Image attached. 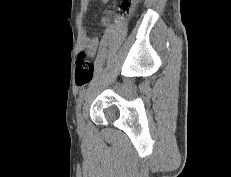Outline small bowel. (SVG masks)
Here are the masks:
<instances>
[{
    "label": "small bowel",
    "instance_id": "obj_1",
    "mask_svg": "<svg viewBox=\"0 0 231 177\" xmlns=\"http://www.w3.org/2000/svg\"><path fill=\"white\" fill-rule=\"evenodd\" d=\"M88 1H90V0H88ZM103 1H107V0H103ZM83 47H84L85 51L87 52L88 56H94L97 52L98 40L92 39L88 35H85Z\"/></svg>",
    "mask_w": 231,
    "mask_h": 177
}]
</instances>
